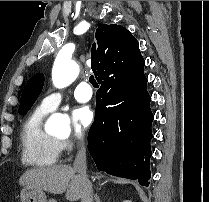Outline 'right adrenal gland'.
Here are the masks:
<instances>
[{
	"instance_id": "2a0ac1e0",
	"label": "right adrenal gland",
	"mask_w": 209,
	"mask_h": 202,
	"mask_svg": "<svg viewBox=\"0 0 209 202\" xmlns=\"http://www.w3.org/2000/svg\"><path fill=\"white\" fill-rule=\"evenodd\" d=\"M95 202H101L100 199H99L98 194L95 195Z\"/></svg>"
}]
</instances>
